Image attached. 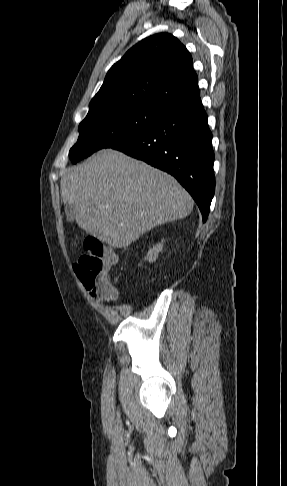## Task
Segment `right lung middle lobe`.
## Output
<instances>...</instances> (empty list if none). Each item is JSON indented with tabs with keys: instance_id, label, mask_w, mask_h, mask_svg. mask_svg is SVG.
<instances>
[{
	"instance_id": "right-lung-middle-lobe-1",
	"label": "right lung middle lobe",
	"mask_w": 287,
	"mask_h": 486,
	"mask_svg": "<svg viewBox=\"0 0 287 486\" xmlns=\"http://www.w3.org/2000/svg\"><path fill=\"white\" fill-rule=\"evenodd\" d=\"M169 109L149 102H122L89 108L79 125V138L69 152L73 163L102 148L131 140Z\"/></svg>"
}]
</instances>
